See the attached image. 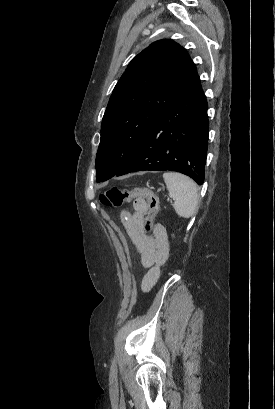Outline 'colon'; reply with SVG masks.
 Listing matches in <instances>:
<instances>
[{"label": "colon", "mask_w": 275, "mask_h": 409, "mask_svg": "<svg viewBox=\"0 0 275 409\" xmlns=\"http://www.w3.org/2000/svg\"><path fill=\"white\" fill-rule=\"evenodd\" d=\"M141 198L146 199L148 203L149 215L145 223V230L146 232H149L160 208L159 199L151 190H122L118 187H112L101 195L100 200L104 205L108 207L120 208L125 203H129ZM106 212L109 214L111 211L108 209Z\"/></svg>", "instance_id": "colon-1"}]
</instances>
